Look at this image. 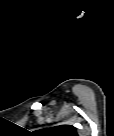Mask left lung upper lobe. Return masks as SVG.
<instances>
[{
    "instance_id": "1",
    "label": "left lung upper lobe",
    "mask_w": 114,
    "mask_h": 136,
    "mask_svg": "<svg viewBox=\"0 0 114 136\" xmlns=\"http://www.w3.org/2000/svg\"><path fill=\"white\" fill-rule=\"evenodd\" d=\"M43 136H77V130L71 125H60L42 130Z\"/></svg>"
}]
</instances>
